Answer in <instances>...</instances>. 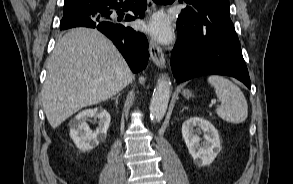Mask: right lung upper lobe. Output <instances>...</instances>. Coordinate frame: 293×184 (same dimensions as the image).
Wrapping results in <instances>:
<instances>
[{"mask_svg":"<svg viewBox=\"0 0 293 184\" xmlns=\"http://www.w3.org/2000/svg\"><path fill=\"white\" fill-rule=\"evenodd\" d=\"M97 0H65V5L63 8L64 14L71 12L76 9H81Z\"/></svg>","mask_w":293,"mask_h":184,"instance_id":"1","label":"right lung upper lobe"}]
</instances>
